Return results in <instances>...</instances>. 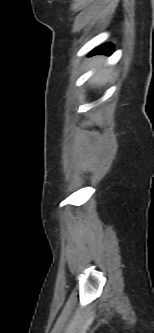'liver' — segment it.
<instances>
[{
    "instance_id": "6515ba94",
    "label": "liver",
    "mask_w": 154,
    "mask_h": 333,
    "mask_svg": "<svg viewBox=\"0 0 154 333\" xmlns=\"http://www.w3.org/2000/svg\"><path fill=\"white\" fill-rule=\"evenodd\" d=\"M102 60H103V58H101V57L97 58L92 66L99 64ZM110 78H111V70L104 69L94 75V77L91 79V83L96 84V85H103Z\"/></svg>"
}]
</instances>
